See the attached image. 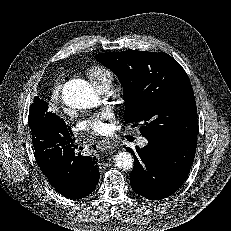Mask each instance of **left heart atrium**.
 Segmentation results:
<instances>
[{
	"label": "left heart atrium",
	"mask_w": 231,
	"mask_h": 231,
	"mask_svg": "<svg viewBox=\"0 0 231 231\" xmlns=\"http://www.w3.org/2000/svg\"><path fill=\"white\" fill-rule=\"evenodd\" d=\"M114 114L111 110L100 111L82 122V127L97 134H107L111 130L108 121L113 119Z\"/></svg>",
	"instance_id": "39dd6f15"
}]
</instances>
